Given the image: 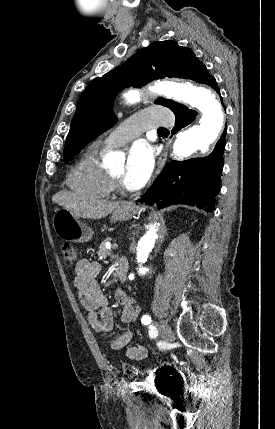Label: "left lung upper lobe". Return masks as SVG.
<instances>
[{"label":"left lung upper lobe","mask_w":275,"mask_h":429,"mask_svg":"<svg viewBox=\"0 0 275 429\" xmlns=\"http://www.w3.org/2000/svg\"><path fill=\"white\" fill-rule=\"evenodd\" d=\"M205 66L189 48L176 41L153 42L139 50L121 67L95 78L82 93L64 148V160H71L86 144L116 122L112 101L125 87H141L154 79L177 77L197 82ZM155 104L174 110L181 105L158 98Z\"/></svg>","instance_id":"5c2ea615"}]
</instances>
